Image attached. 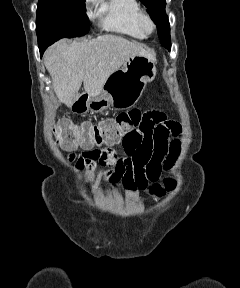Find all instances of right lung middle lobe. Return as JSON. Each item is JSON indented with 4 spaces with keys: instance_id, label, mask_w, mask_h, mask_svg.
Masks as SVG:
<instances>
[{
    "instance_id": "1",
    "label": "right lung middle lobe",
    "mask_w": 240,
    "mask_h": 288,
    "mask_svg": "<svg viewBox=\"0 0 240 288\" xmlns=\"http://www.w3.org/2000/svg\"><path fill=\"white\" fill-rule=\"evenodd\" d=\"M85 0H39L36 16L38 45H51L60 38L82 36L89 31Z\"/></svg>"
}]
</instances>
